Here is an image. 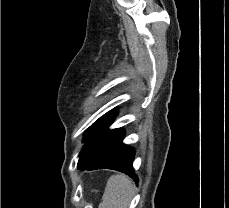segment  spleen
<instances>
[{
    "label": "spleen",
    "mask_w": 229,
    "mask_h": 208,
    "mask_svg": "<svg viewBox=\"0 0 229 208\" xmlns=\"http://www.w3.org/2000/svg\"><path fill=\"white\" fill-rule=\"evenodd\" d=\"M133 194V184L124 174L111 176L99 208H128Z\"/></svg>",
    "instance_id": "obj_1"
}]
</instances>
